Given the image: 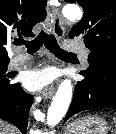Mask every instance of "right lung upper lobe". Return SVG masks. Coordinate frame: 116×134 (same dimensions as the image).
Masks as SVG:
<instances>
[{"label": "right lung upper lobe", "instance_id": "obj_1", "mask_svg": "<svg viewBox=\"0 0 116 134\" xmlns=\"http://www.w3.org/2000/svg\"><path fill=\"white\" fill-rule=\"evenodd\" d=\"M47 0H0V62H9L6 45L14 35L32 36L45 19Z\"/></svg>", "mask_w": 116, "mask_h": 134}]
</instances>
